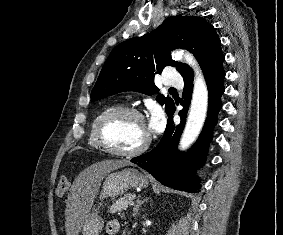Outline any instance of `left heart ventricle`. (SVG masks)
<instances>
[{
    "label": "left heart ventricle",
    "instance_id": "left-heart-ventricle-1",
    "mask_svg": "<svg viewBox=\"0 0 283 235\" xmlns=\"http://www.w3.org/2000/svg\"><path fill=\"white\" fill-rule=\"evenodd\" d=\"M145 124L136 117L123 116L109 122L105 128L106 141L114 148L122 151L134 150L147 137Z\"/></svg>",
    "mask_w": 283,
    "mask_h": 235
}]
</instances>
